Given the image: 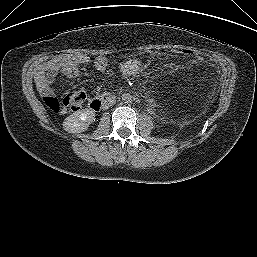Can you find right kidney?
I'll use <instances>...</instances> for the list:
<instances>
[{"label": "right kidney", "mask_w": 257, "mask_h": 257, "mask_svg": "<svg viewBox=\"0 0 257 257\" xmlns=\"http://www.w3.org/2000/svg\"><path fill=\"white\" fill-rule=\"evenodd\" d=\"M94 118L95 113L93 110L81 109L64 120L63 128L69 133H81L88 129Z\"/></svg>", "instance_id": "1"}]
</instances>
